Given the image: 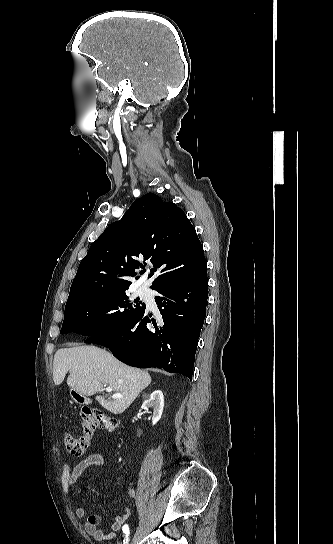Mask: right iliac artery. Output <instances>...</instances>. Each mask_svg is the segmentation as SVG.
<instances>
[{
    "mask_svg": "<svg viewBox=\"0 0 333 544\" xmlns=\"http://www.w3.org/2000/svg\"><path fill=\"white\" fill-rule=\"evenodd\" d=\"M122 530H123V533L125 535L124 544H127L128 543L129 533H130L129 526L127 524H125L123 526Z\"/></svg>",
    "mask_w": 333,
    "mask_h": 544,
    "instance_id": "82829eb1",
    "label": "right iliac artery"
}]
</instances>
